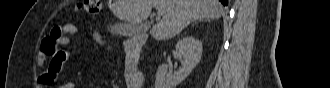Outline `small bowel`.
I'll return each mask as SVG.
<instances>
[{
	"mask_svg": "<svg viewBox=\"0 0 330 88\" xmlns=\"http://www.w3.org/2000/svg\"><path fill=\"white\" fill-rule=\"evenodd\" d=\"M62 31L64 35L57 40V45L65 46L71 43L73 38L78 34V28L72 23H67L62 26ZM84 44L89 47V43L84 39ZM47 53L42 49L38 56V65L41 67L46 59ZM71 57V52L67 50H60V54L55 58L56 65L52 67V63L49 65L48 69L42 71L38 76V82L41 86L52 85L61 70L62 65ZM126 70H131L130 65H126ZM74 83L67 82L62 85V88H74Z\"/></svg>",
	"mask_w": 330,
	"mask_h": 88,
	"instance_id": "c3829d8e",
	"label": "small bowel"
}]
</instances>
